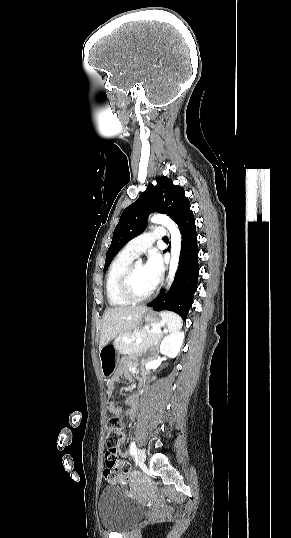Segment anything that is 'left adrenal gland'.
I'll return each mask as SVG.
<instances>
[{"instance_id":"a2214340","label":"left adrenal gland","mask_w":291,"mask_h":538,"mask_svg":"<svg viewBox=\"0 0 291 538\" xmlns=\"http://www.w3.org/2000/svg\"><path fill=\"white\" fill-rule=\"evenodd\" d=\"M165 332H167L166 329H164V331L162 332V336H163V333H165ZM162 336H161V338H162ZM161 338H160V340H161ZM158 346H159V341L155 344L156 354H158V352H159L158 351Z\"/></svg>"}]
</instances>
